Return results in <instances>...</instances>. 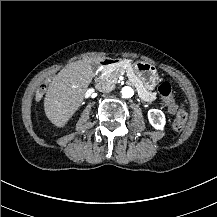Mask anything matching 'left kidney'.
Here are the masks:
<instances>
[{
  "label": "left kidney",
  "mask_w": 217,
  "mask_h": 217,
  "mask_svg": "<svg viewBox=\"0 0 217 217\" xmlns=\"http://www.w3.org/2000/svg\"><path fill=\"white\" fill-rule=\"evenodd\" d=\"M150 124L157 130H163L166 120L164 113L159 109H150L148 111Z\"/></svg>",
  "instance_id": "left-kidney-1"
}]
</instances>
